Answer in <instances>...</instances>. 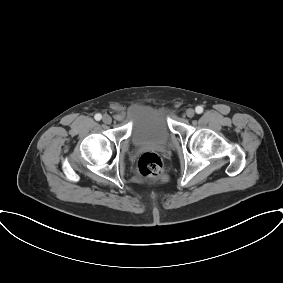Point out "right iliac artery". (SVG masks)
<instances>
[{
	"label": "right iliac artery",
	"mask_w": 283,
	"mask_h": 283,
	"mask_svg": "<svg viewBox=\"0 0 283 283\" xmlns=\"http://www.w3.org/2000/svg\"><path fill=\"white\" fill-rule=\"evenodd\" d=\"M94 118H95V120L99 121V120H101L102 116H101V114L98 113L94 116Z\"/></svg>",
	"instance_id": "82829eb1"
}]
</instances>
